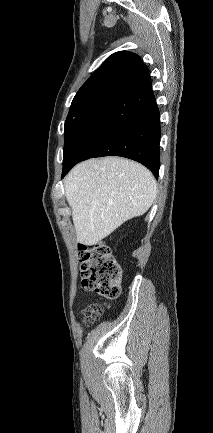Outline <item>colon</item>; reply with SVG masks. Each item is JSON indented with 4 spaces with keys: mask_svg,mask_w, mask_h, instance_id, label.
Here are the masks:
<instances>
[{
    "mask_svg": "<svg viewBox=\"0 0 213 433\" xmlns=\"http://www.w3.org/2000/svg\"><path fill=\"white\" fill-rule=\"evenodd\" d=\"M81 274L84 288L94 291L107 300H115L121 292L124 268L110 247L99 242L92 246L81 245ZM104 311L100 303L88 305L83 313L87 322L99 319Z\"/></svg>",
    "mask_w": 213,
    "mask_h": 433,
    "instance_id": "colon-1",
    "label": "colon"
}]
</instances>
